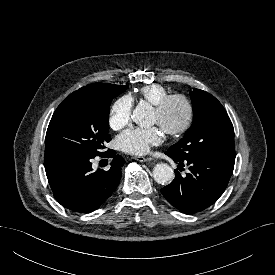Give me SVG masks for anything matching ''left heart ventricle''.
<instances>
[{"label":"left heart ventricle","mask_w":275,"mask_h":275,"mask_svg":"<svg viewBox=\"0 0 275 275\" xmlns=\"http://www.w3.org/2000/svg\"><path fill=\"white\" fill-rule=\"evenodd\" d=\"M184 107L181 103L175 102L173 103L167 114L165 115L163 121L165 124L170 125V126H178L182 123L184 119ZM161 122V119L159 115L155 112H153V117H152V123L159 124Z\"/></svg>","instance_id":"b2bd125f"}]
</instances>
